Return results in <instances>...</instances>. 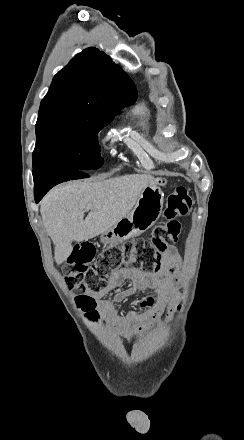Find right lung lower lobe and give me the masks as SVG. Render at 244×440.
<instances>
[{
	"mask_svg": "<svg viewBox=\"0 0 244 440\" xmlns=\"http://www.w3.org/2000/svg\"><path fill=\"white\" fill-rule=\"evenodd\" d=\"M86 171L73 169L68 166H48L33 170L34 178V198L38 203L42 197L55 185L81 178H87Z\"/></svg>",
	"mask_w": 244,
	"mask_h": 440,
	"instance_id": "right-lung-lower-lobe-1",
	"label": "right lung lower lobe"
}]
</instances>
